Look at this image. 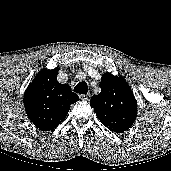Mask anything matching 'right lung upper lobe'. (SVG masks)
<instances>
[{"label":"right lung upper lobe","instance_id":"obj_1","mask_svg":"<svg viewBox=\"0 0 171 171\" xmlns=\"http://www.w3.org/2000/svg\"><path fill=\"white\" fill-rule=\"evenodd\" d=\"M58 69H43L24 93V106L30 121L42 131L56 128L79 97L67 84L57 81Z\"/></svg>","mask_w":171,"mask_h":171}]
</instances>
